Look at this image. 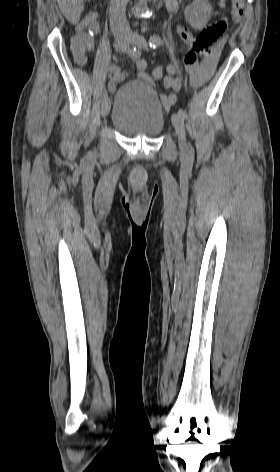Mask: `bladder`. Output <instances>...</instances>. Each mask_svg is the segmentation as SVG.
Masks as SVG:
<instances>
[{
    "mask_svg": "<svg viewBox=\"0 0 280 472\" xmlns=\"http://www.w3.org/2000/svg\"><path fill=\"white\" fill-rule=\"evenodd\" d=\"M111 124L125 136L157 137L165 124V112L157 91L140 80L122 85L114 97Z\"/></svg>",
    "mask_w": 280,
    "mask_h": 472,
    "instance_id": "bladder-1",
    "label": "bladder"
}]
</instances>
